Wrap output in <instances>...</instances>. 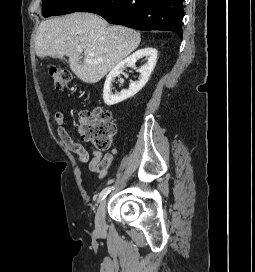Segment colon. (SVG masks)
Masks as SVG:
<instances>
[{"label": "colon", "mask_w": 255, "mask_h": 272, "mask_svg": "<svg viewBox=\"0 0 255 272\" xmlns=\"http://www.w3.org/2000/svg\"><path fill=\"white\" fill-rule=\"evenodd\" d=\"M50 76L54 87L61 91L72 82V74L64 68H52ZM116 124L111 111L95 109L92 113L81 112L79 116L78 134L96 150L106 151L111 147Z\"/></svg>", "instance_id": "obj_1"}]
</instances>
